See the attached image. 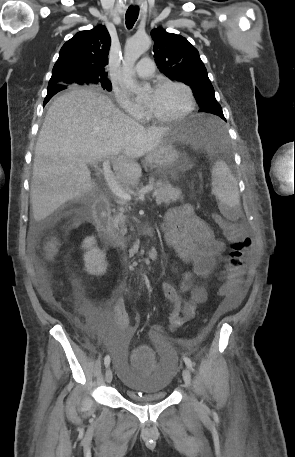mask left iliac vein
Returning a JSON list of instances; mask_svg holds the SVG:
<instances>
[{
    "instance_id": "left-iliac-vein-1",
    "label": "left iliac vein",
    "mask_w": 295,
    "mask_h": 457,
    "mask_svg": "<svg viewBox=\"0 0 295 457\" xmlns=\"http://www.w3.org/2000/svg\"><path fill=\"white\" fill-rule=\"evenodd\" d=\"M182 375H183V380L185 382L186 387L190 390L191 389V375H190L189 369L188 368H184L183 372H182ZM192 401L195 404L197 403L196 399L193 396H192Z\"/></svg>"
}]
</instances>
